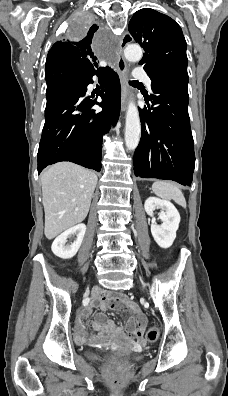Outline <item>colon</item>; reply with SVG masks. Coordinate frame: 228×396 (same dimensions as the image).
Returning <instances> with one entry per match:
<instances>
[{"mask_svg": "<svg viewBox=\"0 0 228 396\" xmlns=\"http://www.w3.org/2000/svg\"><path fill=\"white\" fill-rule=\"evenodd\" d=\"M158 337H159V331H158L157 328L152 327V328H149V329H148V331H147V333H146V338H147L149 341H155V340L158 339Z\"/></svg>", "mask_w": 228, "mask_h": 396, "instance_id": "1", "label": "colon"}]
</instances>
